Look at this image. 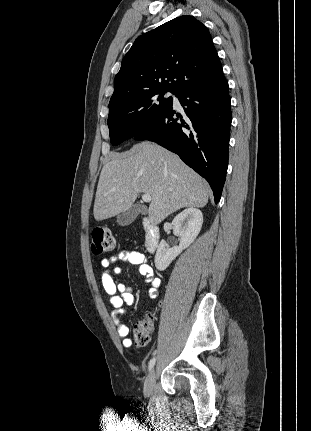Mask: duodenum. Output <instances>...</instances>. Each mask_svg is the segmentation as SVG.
<instances>
[{"label":"duodenum","instance_id":"obj_1","mask_svg":"<svg viewBox=\"0 0 311 431\" xmlns=\"http://www.w3.org/2000/svg\"><path fill=\"white\" fill-rule=\"evenodd\" d=\"M143 226L145 230V248L148 252L154 253L159 246V228L147 218L143 219Z\"/></svg>","mask_w":311,"mask_h":431}]
</instances>
